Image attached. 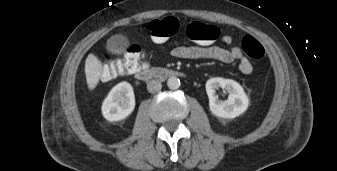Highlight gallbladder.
<instances>
[{"label":"gallbladder","mask_w":337,"mask_h":171,"mask_svg":"<svg viewBox=\"0 0 337 171\" xmlns=\"http://www.w3.org/2000/svg\"><path fill=\"white\" fill-rule=\"evenodd\" d=\"M127 41L121 36H113L108 40L107 47L113 53H120L126 46Z\"/></svg>","instance_id":"1"}]
</instances>
